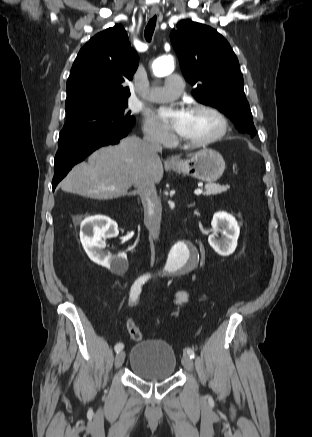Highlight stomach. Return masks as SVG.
I'll list each match as a JSON object with an SVG mask.
<instances>
[{
	"instance_id": "0dacf381",
	"label": "stomach",
	"mask_w": 312,
	"mask_h": 437,
	"mask_svg": "<svg viewBox=\"0 0 312 437\" xmlns=\"http://www.w3.org/2000/svg\"><path fill=\"white\" fill-rule=\"evenodd\" d=\"M170 168L177 173L213 183L217 181L225 170V161L221 154L212 149L196 152L189 159L178 160Z\"/></svg>"
}]
</instances>
